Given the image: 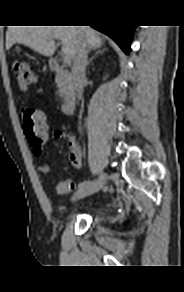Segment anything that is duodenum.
I'll list each match as a JSON object with an SVG mask.
<instances>
[{"mask_svg": "<svg viewBox=\"0 0 184 292\" xmlns=\"http://www.w3.org/2000/svg\"><path fill=\"white\" fill-rule=\"evenodd\" d=\"M50 69L57 76L58 92L63 97V110L66 114H71L74 110V98L72 89L69 87L71 75L68 71L62 69L57 59L50 60Z\"/></svg>", "mask_w": 184, "mask_h": 292, "instance_id": "obj_1", "label": "duodenum"}]
</instances>
